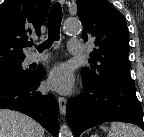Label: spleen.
<instances>
[{
  "mask_svg": "<svg viewBox=\"0 0 144 137\" xmlns=\"http://www.w3.org/2000/svg\"><path fill=\"white\" fill-rule=\"evenodd\" d=\"M100 128L108 130V137H144V132L139 127L127 123L113 122L110 128L106 126Z\"/></svg>",
  "mask_w": 144,
  "mask_h": 137,
  "instance_id": "3e777b00",
  "label": "spleen"
}]
</instances>
